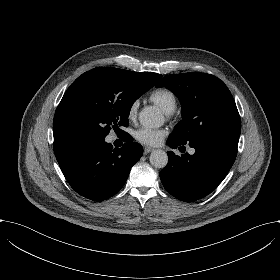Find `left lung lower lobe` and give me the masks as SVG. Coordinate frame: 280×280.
<instances>
[{"label": "left lung lower lobe", "instance_id": "left-lung-lower-lobe-1", "mask_svg": "<svg viewBox=\"0 0 280 280\" xmlns=\"http://www.w3.org/2000/svg\"><path fill=\"white\" fill-rule=\"evenodd\" d=\"M238 141L239 137L233 135L210 136L187 142L195 149L193 155L177 156L168 151V164L160 171L164 188L181 201L204 198L222 182L232 167ZM167 145L184 147L182 141L170 136Z\"/></svg>", "mask_w": 280, "mask_h": 280}]
</instances>
